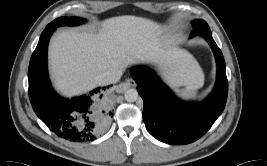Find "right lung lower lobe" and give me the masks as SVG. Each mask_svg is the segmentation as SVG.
Returning a JSON list of instances; mask_svg holds the SVG:
<instances>
[{
    "instance_id": "1",
    "label": "right lung lower lobe",
    "mask_w": 267,
    "mask_h": 166,
    "mask_svg": "<svg viewBox=\"0 0 267 166\" xmlns=\"http://www.w3.org/2000/svg\"><path fill=\"white\" fill-rule=\"evenodd\" d=\"M55 29L46 26L31 57L30 102L36 115L58 137L71 142L91 141L103 132L112 117L108 87H98L71 99L62 98L53 91L47 73V47Z\"/></svg>"
}]
</instances>
